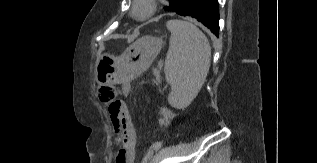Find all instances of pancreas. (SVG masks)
Masks as SVG:
<instances>
[{
	"mask_svg": "<svg viewBox=\"0 0 317 163\" xmlns=\"http://www.w3.org/2000/svg\"><path fill=\"white\" fill-rule=\"evenodd\" d=\"M160 71L159 70H157V69H154V74H155V76H156V78H157V80H159L160 79Z\"/></svg>",
	"mask_w": 317,
	"mask_h": 163,
	"instance_id": "cf45deb5",
	"label": "pancreas"
}]
</instances>
